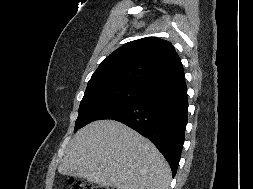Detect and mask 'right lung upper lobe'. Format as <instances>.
<instances>
[{
    "mask_svg": "<svg viewBox=\"0 0 253 189\" xmlns=\"http://www.w3.org/2000/svg\"><path fill=\"white\" fill-rule=\"evenodd\" d=\"M184 79L180 57L172 44L157 37H146L124 44L104 59L86 91L106 86L149 91Z\"/></svg>",
    "mask_w": 253,
    "mask_h": 189,
    "instance_id": "cb5924a9",
    "label": "right lung upper lobe"
}]
</instances>
